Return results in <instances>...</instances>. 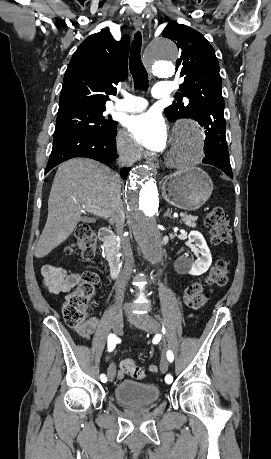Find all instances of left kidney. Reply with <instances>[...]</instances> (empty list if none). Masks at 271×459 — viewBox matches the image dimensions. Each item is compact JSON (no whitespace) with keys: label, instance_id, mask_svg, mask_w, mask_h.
<instances>
[{"label":"left kidney","instance_id":"obj_1","mask_svg":"<svg viewBox=\"0 0 271 459\" xmlns=\"http://www.w3.org/2000/svg\"><path fill=\"white\" fill-rule=\"evenodd\" d=\"M190 241H195V245L199 247V253H201L200 257H198L197 261H193V259H189V257H181L182 269L184 271H188L191 275H201V273H205L208 267H210L212 263V255L210 253V249L200 231H190L188 235Z\"/></svg>","mask_w":271,"mask_h":459}]
</instances>
